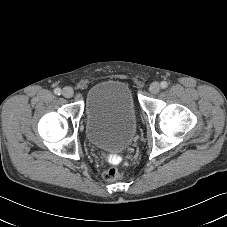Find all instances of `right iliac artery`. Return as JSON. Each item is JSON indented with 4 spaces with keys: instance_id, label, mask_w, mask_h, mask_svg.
<instances>
[{
    "instance_id": "1",
    "label": "right iliac artery",
    "mask_w": 227,
    "mask_h": 227,
    "mask_svg": "<svg viewBox=\"0 0 227 227\" xmlns=\"http://www.w3.org/2000/svg\"><path fill=\"white\" fill-rule=\"evenodd\" d=\"M54 93H55L56 95H60V94H61V89H60V88H56V89L54 90Z\"/></svg>"
}]
</instances>
